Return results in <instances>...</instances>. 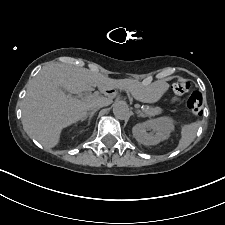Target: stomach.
Returning <instances> with one entry per match:
<instances>
[{
    "label": "stomach",
    "mask_w": 225,
    "mask_h": 225,
    "mask_svg": "<svg viewBox=\"0 0 225 225\" xmlns=\"http://www.w3.org/2000/svg\"><path fill=\"white\" fill-rule=\"evenodd\" d=\"M165 90L166 85L162 86L161 88L149 91L146 95V101L150 103L156 102L161 97V95Z\"/></svg>",
    "instance_id": "obj_1"
}]
</instances>
